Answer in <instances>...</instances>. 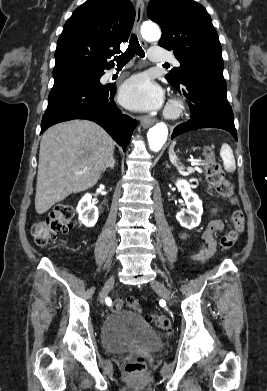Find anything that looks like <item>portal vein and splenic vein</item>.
Here are the masks:
<instances>
[{
	"mask_svg": "<svg viewBox=\"0 0 267 391\" xmlns=\"http://www.w3.org/2000/svg\"><path fill=\"white\" fill-rule=\"evenodd\" d=\"M189 161L191 162L192 166L199 165V163H196L195 160H193V159H189Z\"/></svg>",
	"mask_w": 267,
	"mask_h": 391,
	"instance_id": "1",
	"label": "portal vein and splenic vein"
}]
</instances>
